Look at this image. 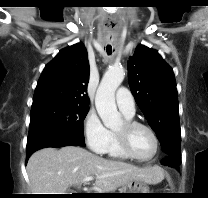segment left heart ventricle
Returning <instances> with one entry per match:
<instances>
[{
  "instance_id": "left-heart-ventricle-1",
  "label": "left heart ventricle",
  "mask_w": 208,
  "mask_h": 198,
  "mask_svg": "<svg viewBox=\"0 0 208 198\" xmlns=\"http://www.w3.org/2000/svg\"><path fill=\"white\" fill-rule=\"evenodd\" d=\"M123 122L114 131L123 130ZM129 145L133 153L140 158H148L154 151V140L144 128L137 127L129 132Z\"/></svg>"
}]
</instances>
